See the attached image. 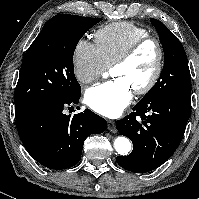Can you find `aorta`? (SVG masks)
<instances>
[{"instance_id":"aorta-1","label":"aorta","mask_w":199,"mask_h":199,"mask_svg":"<svg viewBox=\"0 0 199 199\" xmlns=\"http://www.w3.org/2000/svg\"><path fill=\"white\" fill-rule=\"evenodd\" d=\"M114 147L118 154L127 155L131 150V143L128 138L120 136L115 139Z\"/></svg>"}]
</instances>
